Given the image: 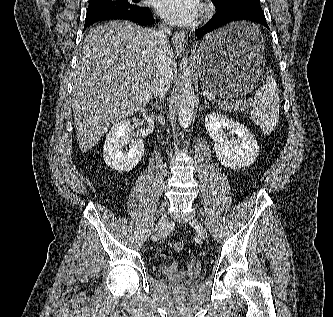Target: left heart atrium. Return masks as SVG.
Here are the masks:
<instances>
[{"label":"left heart atrium","instance_id":"obj_1","mask_svg":"<svg viewBox=\"0 0 333 317\" xmlns=\"http://www.w3.org/2000/svg\"><path fill=\"white\" fill-rule=\"evenodd\" d=\"M156 11L170 23L187 25L197 18L199 4L196 0H157Z\"/></svg>","mask_w":333,"mask_h":317}]
</instances>
